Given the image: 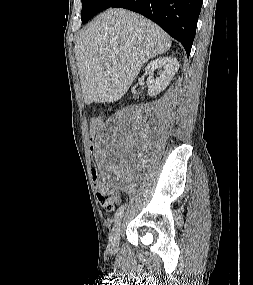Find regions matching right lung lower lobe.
<instances>
[{
  "mask_svg": "<svg viewBox=\"0 0 253 285\" xmlns=\"http://www.w3.org/2000/svg\"><path fill=\"white\" fill-rule=\"evenodd\" d=\"M203 0H117L111 7L140 13L181 42L189 57Z\"/></svg>",
  "mask_w": 253,
  "mask_h": 285,
  "instance_id": "obj_1",
  "label": "right lung lower lobe"
}]
</instances>
